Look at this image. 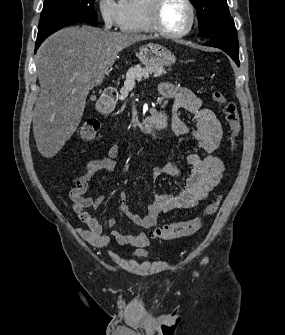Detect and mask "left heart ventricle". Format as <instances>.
Listing matches in <instances>:
<instances>
[{
    "instance_id": "1",
    "label": "left heart ventricle",
    "mask_w": 285,
    "mask_h": 335,
    "mask_svg": "<svg viewBox=\"0 0 285 335\" xmlns=\"http://www.w3.org/2000/svg\"><path fill=\"white\" fill-rule=\"evenodd\" d=\"M190 13L188 8L179 1H171L163 10V22L172 31L184 28L189 22Z\"/></svg>"
}]
</instances>
